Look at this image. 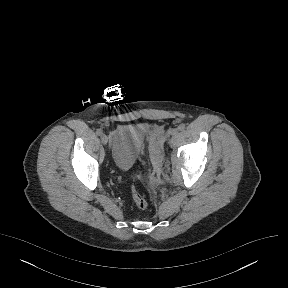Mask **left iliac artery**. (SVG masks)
<instances>
[{
	"mask_svg": "<svg viewBox=\"0 0 288 288\" xmlns=\"http://www.w3.org/2000/svg\"><path fill=\"white\" fill-rule=\"evenodd\" d=\"M185 127H186V125H185L184 123H182V124H180V125L178 126V129H179L180 131H182V130L185 129Z\"/></svg>",
	"mask_w": 288,
	"mask_h": 288,
	"instance_id": "left-iliac-artery-1",
	"label": "left iliac artery"
}]
</instances>
